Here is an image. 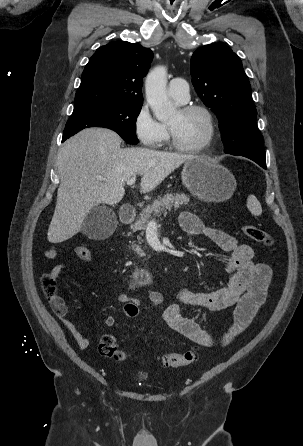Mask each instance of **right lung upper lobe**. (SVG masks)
Masks as SVG:
<instances>
[{
  "label": "right lung upper lobe",
  "mask_w": 303,
  "mask_h": 446,
  "mask_svg": "<svg viewBox=\"0 0 303 446\" xmlns=\"http://www.w3.org/2000/svg\"><path fill=\"white\" fill-rule=\"evenodd\" d=\"M153 52L138 43L112 42L96 50L82 73L74 106L119 102L142 105V78Z\"/></svg>",
  "instance_id": "obj_1"
}]
</instances>
